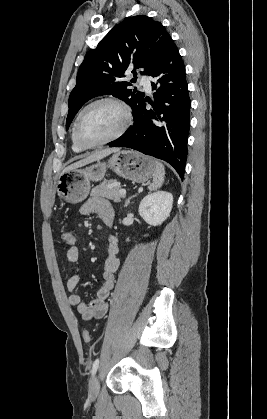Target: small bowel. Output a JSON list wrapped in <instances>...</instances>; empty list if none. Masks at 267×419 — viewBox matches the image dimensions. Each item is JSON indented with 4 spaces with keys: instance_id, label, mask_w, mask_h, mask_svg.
Returning <instances> with one entry per match:
<instances>
[{
    "instance_id": "1",
    "label": "small bowel",
    "mask_w": 267,
    "mask_h": 419,
    "mask_svg": "<svg viewBox=\"0 0 267 419\" xmlns=\"http://www.w3.org/2000/svg\"><path fill=\"white\" fill-rule=\"evenodd\" d=\"M81 213L84 215H98L102 221L112 224L115 212L111 204L102 198H91L82 207ZM118 242L115 237H110L108 245V257L105 260L102 271L103 285L98 289L96 298L89 303L83 302L81 296L77 293L80 276L77 270V262L79 258L78 248L70 246L66 252V286L71 293L68 302L71 306L76 307L78 313L85 321L102 318L107 310V299L115 284V273L119 268L120 261L117 257Z\"/></svg>"
}]
</instances>
